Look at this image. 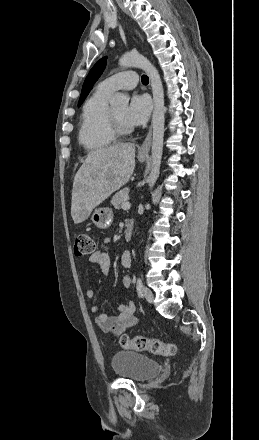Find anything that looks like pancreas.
<instances>
[{
	"mask_svg": "<svg viewBox=\"0 0 259 440\" xmlns=\"http://www.w3.org/2000/svg\"><path fill=\"white\" fill-rule=\"evenodd\" d=\"M128 194H129V188H124L113 196V198L111 199V204L114 206L115 209L119 210L122 204L127 202Z\"/></svg>",
	"mask_w": 259,
	"mask_h": 440,
	"instance_id": "cf45deb5",
	"label": "pancreas"
}]
</instances>
